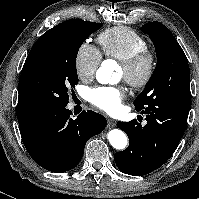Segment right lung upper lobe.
<instances>
[{"instance_id": "cb5924a9", "label": "right lung upper lobe", "mask_w": 199, "mask_h": 199, "mask_svg": "<svg viewBox=\"0 0 199 199\" xmlns=\"http://www.w3.org/2000/svg\"><path fill=\"white\" fill-rule=\"evenodd\" d=\"M16 114L21 133H24L27 130H29L39 120L38 117L32 116L18 108Z\"/></svg>"}]
</instances>
